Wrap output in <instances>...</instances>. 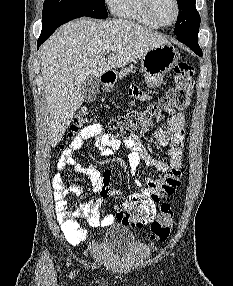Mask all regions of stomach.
Listing matches in <instances>:
<instances>
[{
	"instance_id": "1",
	"label": "stomach",
	"mask_w": 233,
	"mask_h": 286,
	"mask_svg": "<svg viewBox=\"0 0 233 286\" xmlns=\"http://www.w3.org/2000/svg\"><path fill=\"white\" fill-rule=\"evenodd\" d=\"M180 55L170 43L159 45L141 57V69L149 87H158L177 63Z\"/></svg>"
}]
</instances>
